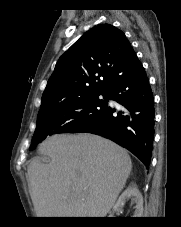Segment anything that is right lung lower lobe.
Instances as JSON below:
<instances>
[{
  "label": "right lung lower lobe",
  "instance_id": "right-lung-lower-lobe-1",
  "mask_svg": "<svg viewBox=\"0 0 181 227\" xmlns=\"http://www.w3.org/2000/svg\"><path fill=\"white\" fill-rule=\"evenodd\" d=\"M108 97L123 109L117 113L108 107L91 125L80 132H89L111 139L127 148L149 167L153 150L155 112L153 93L146 72L133 57L125 72L108 88Z\"/></svg>",
  "mask_w": 181,
  "mask_h": 227
}]
</instances>
